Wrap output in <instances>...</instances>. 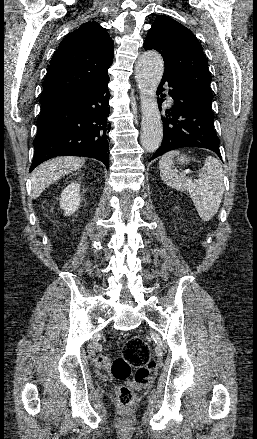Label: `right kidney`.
<instances>
[{
    "mask_svg": "<svg viewBox=\"0 0 257 439\" xmlns=\"http://www.w3.org/2000/svg\"><path fill=\"white\" fill-rule=\"evenodd\" d=\"M80 185L77 182L70 183L61 193L60 207L65 215H71L80 206Z\"/></svg>",
    "mask_w": 257,
    "mask_h": 439,
    "instance_id": "obj_1",
    "label": "right kidney"
}]
</instances>
